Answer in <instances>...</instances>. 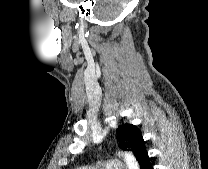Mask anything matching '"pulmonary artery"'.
I'll return each instance as SVG.
<instances>
[{"mask_svg":"<svg viewBox=\"0 0 208 169\" xmlns=\"http://www.w3.org/2000/svg\"><path fill=\"white\" fill-rule=\"evenodd\" d=\"M125 166L119 159H110L99 162L93 165H83L77 169H125Z\"/></svg>","mask_w":208,"mask_h":169,"instance_id":"obj_1","label":"pulmonary artery"}]
</instances>
